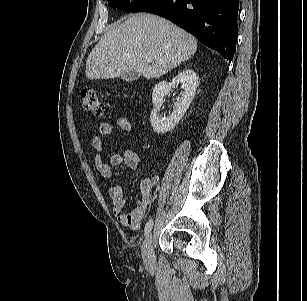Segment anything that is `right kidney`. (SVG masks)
Masks as SVG:
<instances>
[{
	"label": "right kidney",
	"instance_id": "right-kidney-1",
	"mask_svg": "<svg viewBox=\"0 0 307 301\" xmlns=\"http://www.w3.org/2000/svg\"><path fill=\"white\" fill-rule=\"evenodd\" d=\"M182 84L184 92L182 97L175 103V109L168 118L160 119L158 113L163 104V98L169 93L172 87ZM198 86V77L192 69H184L176 75L171 82L161 81L153 89L152 102L153 110L150 115V122L154 132L164 134L171 131L182 119L189 108Z\"/></svg>",
	"mask_w": 307,
	"mask_h": 301
}]
</instances>
